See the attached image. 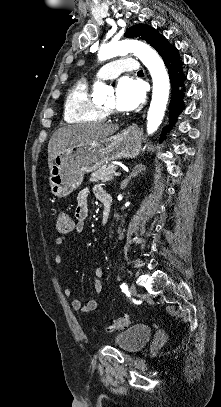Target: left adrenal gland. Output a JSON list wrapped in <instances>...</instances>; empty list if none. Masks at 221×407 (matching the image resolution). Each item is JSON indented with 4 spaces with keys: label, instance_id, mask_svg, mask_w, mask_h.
Here are the masks:
<instances>
[{
    "label": "left adrenal gland",
    "instance_id": "a2214340",
    "mask_svg": "<svg viewBox=\"0 0 221 407\" xmlns=\"http://www.w3.org/2000/svg\"><path fill=\"white\" fill-rule=\"evenodd\" d=\"M145 169H146V167H145L144 165H142V164L136 165V166L134 167V169L132 170V172L129 173L128 177H127L125 180H123V182L121 183L120 189H125V188L127 187L128 183H129V181H130L132 178L137 177L138 174H140V173H142L143 171H145Z\"/></svg>",
    "mask_w": 221,
    "mask_h": 407
}]
</instances>
